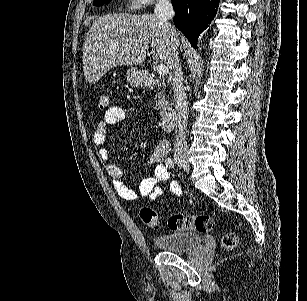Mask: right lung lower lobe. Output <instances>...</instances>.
Here are the masks:
<instances>
[{
    "label": "right lung lower lobe",
    "mask_w": 307,
    "mask_h": 301,
    "mask_svg": "<svg viewBox=\"0 0 307 301\" xmlns=\"http://www.w3.org/2000/svg\"><path fill=\"white\" fill-rule=\"evenodd\" d=\"M175 26L195 46L197 37L213 20L219 0H172Z\"/></svg>",
    "instance_id": "obj_1"
}]
</instances>
